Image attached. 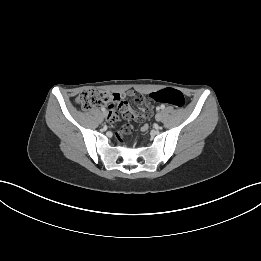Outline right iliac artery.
<instances>
[{"label":"right iliac artery","mask_w":261,"mask_h":261,"mask_svg":"<svg viewBox=\"0 0 261 261\" xmlns=\"http://www.w3.org/2000/svg\"><path fill=\"white\" fill-rule=\"evenodd\" d=\"M101 110L104 112V111H105V108H104V107H101Z\"/></svg>","instance_id":"1"}]
</instances>
